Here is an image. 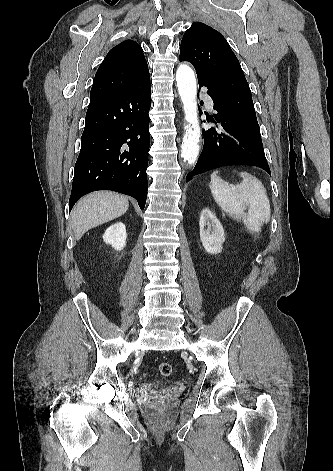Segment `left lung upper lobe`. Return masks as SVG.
<instances>
[{
    "instance_id": "1",
    "label": "left lung upper lobe",
    "mask_w": 333,
    "mask_h": 471,
    "mask_svg": "<svg viewBox=\"0 0 333 471\" xmlns=\"http://www.w3.org/2000/svg\"><path fill=\"white\" fill-rule=\"evenodd\" d=\"M180 61L194 66L198 80L215 90L230 115L260 132L248 82L230 45L218 31L194 22L181 41Z\"/></svg>"
}]
</instances>
